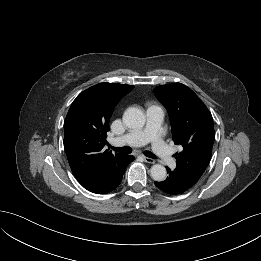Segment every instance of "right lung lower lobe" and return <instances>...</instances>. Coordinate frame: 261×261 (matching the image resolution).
<instances>
[{"label": "right lung lower lobe", "mask_w": 261, "mask_h": 261, "mask_svg": "<svg viewBox=\"0 0 261 261\" xmlns=\"http://www.w3.org/2000/svg\"><path fill=\"white\" fill-rule=\"evenodd\" d=\"M134 160L133 156H124L118 166L114 168L106 177L99 182L86 187L87 190L96 194H105L118 187L122 181V176L126 167Z\"/></svg>", "instance_id": "obj_1"}]
</instances>
